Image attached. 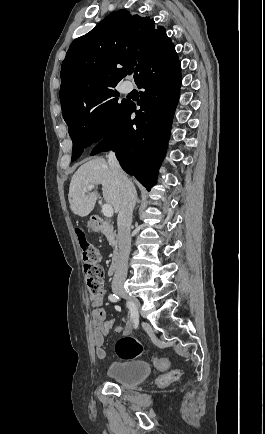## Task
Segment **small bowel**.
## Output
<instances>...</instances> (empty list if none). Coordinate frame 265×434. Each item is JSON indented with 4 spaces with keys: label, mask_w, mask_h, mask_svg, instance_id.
Returning <instances> with one entry per match:
<instances>
[{
    "label": "small bowel",
    "mask_w": 265,
    "mask_h": 434,
    "mask_svg": "<svg viewBox=\"0 0 265 434\" xmlns=\"http://www.w3.org/2000/svg\"><path fill=\"white\" fill-rule=\"evenodd\" d=\"M89 300L92 304V340L95 348L96 357L100 360L105 359L106 352L103 348L105 337L114 327L116 320L107 319V311L103 307V299L97 296H90ZM155 364V363H154ZM170 361L166 358H158L155 366L162 371L170 367Z\"/></svg>",
    "instance_id": "1"
}]
</instances>
